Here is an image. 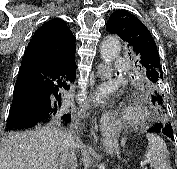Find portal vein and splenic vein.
Returning <instances> with one entry per match:
<instances>
[{
	"instance_id": "obj_1",
	"label": "portal vein and splenic vein",
	"mask_w": 177,
	"mask_h": 169,
	"mask_svg": "<svg viewBox=\"0 0 177 169\" xmlns=\"http://www.w3.org/2000/svg\"><path fill=\"white\" fill-rule=\"evenodd\" d=\"M143 169H148V166L146 163H143Z\"/></svg>"
}]
</instances>
